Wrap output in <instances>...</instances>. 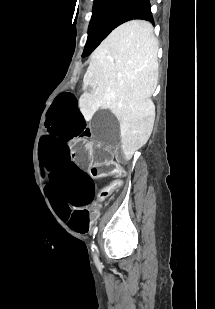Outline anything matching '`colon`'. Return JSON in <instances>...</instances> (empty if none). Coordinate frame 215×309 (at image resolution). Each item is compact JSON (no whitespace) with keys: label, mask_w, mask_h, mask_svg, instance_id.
Returning a JSON list of instances; mask_svg holds the SVG:
<instances>
[{"label":"colon","mask_w":215,"mask_h":309,"mask_svg":"<svg viewBox=\"0 0 215 309\" xmlns=\"http://www.w3.org/2000/svg\"><path fill=\"white\" fill-rule=\"evenodd\" d=\"M102 156H93L95 170L99 173H120L121 170L116 167L107 157L103 156V159H100ZM122 185V179H114L108 186L104 187L98 194V199L103 200L108 197L113 191L117 190Z\"/></svg>","instance_id":"1"}]
</instances>
